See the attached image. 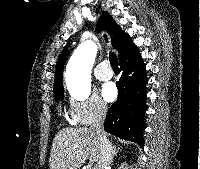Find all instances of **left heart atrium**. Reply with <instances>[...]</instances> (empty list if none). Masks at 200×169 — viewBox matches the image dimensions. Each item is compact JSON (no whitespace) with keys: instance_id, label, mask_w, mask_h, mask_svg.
<instances>
[{"instance_id":"left-heart-atrium-1","label":"left heart atrium","mask_w":200,"mask_h":169,"mask_svg":"<svg viewBox=\"0 0 200 169\" xmlns=\"http://www.w3.org/2000/svg\"><path fill=\"white\" fill-rule=\"evenodd\" d=\"M117 89L113 83H107L102 87V96L103 98L111 102L116 98Z\"/></svg>"}]
</instances>
